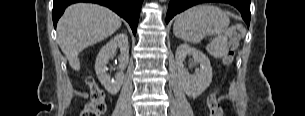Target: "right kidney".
I'll return each mask as SVG.
<instances>
[{
    "instance_id": "1",
    "label": "right kidney",
    "mask_w": 305,
    "mask_h": 116,
    "mask_svg": "<svg viewBox=\"0 0 305 116\" xmlns=\"http://www.w3.org/2000/svg\"><path fill=\"white\" fill-rule=\"evenodd\" d=\"M117 48L120 49L119 67L120 72L112 80L107 74V63L110 58H113ZM129 62V46L128 37L125 33H120L114 36L106 45H104L97 55L95 62V71L99 81L104 85L105 89L111 93L116 94L120 90L124 74L123 70Z\"/></svg>"
}]
</instances>
